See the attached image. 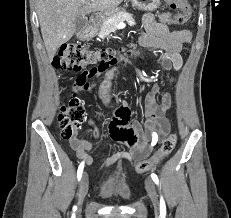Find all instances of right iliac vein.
Masks as SVG:
<instances>
[{
    "label": "right iliac vein",
    "instance_id": "1",
    "mask_svg": "<svg viewBox=\"0 0 231 218\" xmlns=\"http://www.w3.org/2000/svg\"><path fill=\"white\" fill-rule=\"evenodd\" d=\"M88 192V176L86 173L83 174L80 187H79V198H78V206L81 209L84 198Z\"/></svg>",
    "mask_w": 231,
    "mask_h": 218
}]
</instances>
